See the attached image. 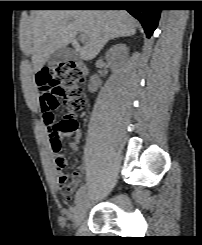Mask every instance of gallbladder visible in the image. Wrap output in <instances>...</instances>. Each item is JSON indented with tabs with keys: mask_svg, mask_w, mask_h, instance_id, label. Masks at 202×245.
I'll use <instances>...</instances> for the list:
<instances>
[{
	"mask_svg": "<svg viewBox=\"0 0 202 245\" xmlns=\"http://www.w3.org/2000/svg\"><path fill=\"white\" fill-rule=\"evenodd\" d=\"M77 53L69 47H62L55 50L48 58L47 64L49 67H54L65 61H72L77 58Z\"/></svg>",
	"mask_w": 202,
	"mask_h": 245,
	"instance_id": "obj_1",
	"label": "gallbladder"
}]
</instances>
